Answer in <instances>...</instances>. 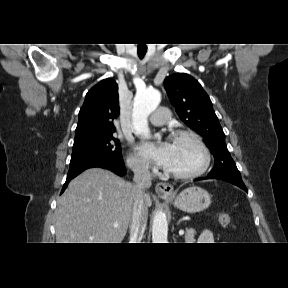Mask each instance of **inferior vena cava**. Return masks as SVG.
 I'll return each instance as SVG.
<instances>
[{
    "instance_id": "inferior-vena-cava-1",
    "label": "inferior vena cava",
    "mask_w": 288,
    "mask_h": 288,
    "mask_svg": "<svg viewBox=\"0 0 288 288\" xmlns=\"http://www.w3.org/2000/svg\"><path fill=\"white\" fill-rule=\"evenodd\" d=\"M133 172L135 197L130 221L129 243H141L148 218L145 190L151 186L152 177L146 163H136L133 166Z\"/></svg>"
}]
</instances>
